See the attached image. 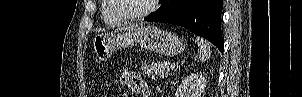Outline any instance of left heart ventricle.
I'll return each instance as SVG.
<instances>
[{
	"instance_id": "obj_1",
	"label": "left heart ventricle",
	"mask_w": 302,
	"mask_h": 97,
	"mask_svg": "<svg viewBox=\"0 0 302 97\" xmlns=\"http://www.w3.org/2000/svg\"><path fill=\"white\" fill-rule=\"evenodd\" d=\"M118 8L125 14H137L144 11L150 0H116Z\"/></svg>"
}]
</instances>
